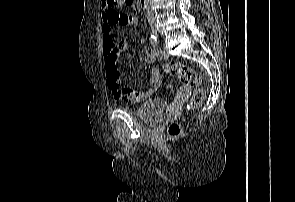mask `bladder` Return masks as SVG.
Segmentation results:
<instances>
[{"label":"bladder","mask_w":295,"mask_h":202,"mask_svg":"<svg viewBox=\"0 0 295 202\" xmlns=\"http://www.w3.org/2000/svg\"><path fill=\"white\" fill-rule=\"evenodd\" d=\"M168 110V103L164 99L153 98L141 104L135 110V115L142 121L153 123L164 118Z\"/></svg>","instance_id":"obj_1"}]
</instances>
